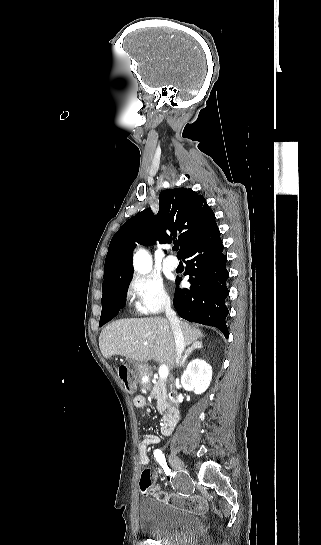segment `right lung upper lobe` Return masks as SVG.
I'll return each instance as SVG.
<instances>
[{
    "label": "right lung upper lobe",
    "instance_id": "right-lung-upper-lobe-1",
    "mask_svg": "<svg viewBox=\"0 0 321 545\" xmlns=\"http://www.w3.org/2000/svg\"><path fill=\"white\" fill-rule=\"evenodd\" d=\"M213 210L192 189H167L159 195V212L150 208L126 221L113 236L105 260L102 290L118 286L133 274L132 251L136 243L151 245L178 241L182 258L187 249L216 226Z\"/></svg>",
    "mask_w": 321,
    "mask_h": 545
}]
</instances>
